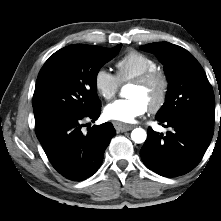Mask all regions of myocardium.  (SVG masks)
I'll return each instance as SVG.
<instances>
[{"label":"myocardium","instance_id":"f54148a6","mask_svg":"<svg viewBox=\"0 0 221 221\" xmlns=\"http://www.w3.org/2000/svg\"><path fill=\"white\" fill-rule=\"evenodd\" d=\"M131 84L144 87L154 82L158 83V91L155 99L147 106L152 113L158 112L165 104L168 91H169V79L167 74L160 69L148 71L133 80Z\"/></svg>","mask_w":221,"mask_h":221}]
</instances>
